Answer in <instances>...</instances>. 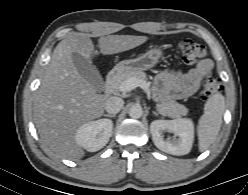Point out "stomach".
I'll list each match as a JSON object with an SVG mask.
<instances>
[{"label":"stomach","instance_id":"1","mask_svg":"<svg viewBox=\"0 0 248 195\" xmlns=\"http://www.w3.org/2000/svg\"><path fill=\"white\" fill-rule=\"evenodd\" d=\"M163 55L160 46L150 47L145 53L136 58L119 62L113 69L117 74H124L135 71H145L154 67Z\"/></svg>","mask_w":248,"mask_h":195}]
</instances>
